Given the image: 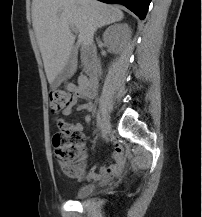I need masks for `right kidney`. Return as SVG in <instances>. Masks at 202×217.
Wrapping results in <instances>:
<instances>
[{"instance_id":"1","label":"right kidney","mask_w":202,"mask_h":217,"mask_svg":"<svg viewBox=\"0 0 202 217\" xmlns=\"http://www.w3.org/2000/svg\"><path fill=\"white\" fill-rule=\"evenodd\" d=\"M131 38V29L127 24H114L106 29L103 40L109 44L115 52L122 50Z\"/></svg>"}]
</instances>
